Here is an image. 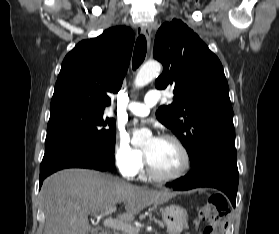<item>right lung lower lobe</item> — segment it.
Wrapping results in <instances>:
<instances>
[{"label": "right lung lower lobe", "mask_w": 279, "mask_h": 234, "mask_svg": "<svg viewBox=\"0 0 279 234\" xmlns=\"http://www.w3.org/2000/svg\"><path fill=\"white\" fill-rule=\"evenodd\" d=\"M89 168L106 171L111 166L84 147L65 145L44 154L40 165V187L50 174L64 168Z\"/></svg>", "instance_id": "right-lung-lower-lobe-1"}]
</instances>
